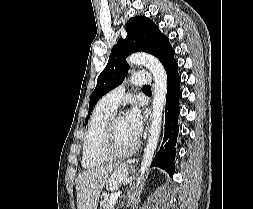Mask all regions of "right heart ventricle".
Returning <instances> with one entry per match:
<instances>
[{"mask_svg": "<svg viewBox=\"0 0 253 209\" xmlns=\"http://www.w3.org/2000/svg\"><path fill=\"white\" fill-rule=\"evenodd\" d=\"M113 112L114 108L104 104L102 100L95 107L83 139V167L96 168L109 161L110 158L104 156L99 147L104 125Z\"/></svg>", "mask_w": 253, "mask_h": 209, "instance_id": "e07e8e85", "label": "right heart ventricle"}]
</instances>
